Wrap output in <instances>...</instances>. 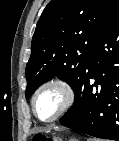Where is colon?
Returning a JSON list of instances; mask_svg holds the SVG:
<instances>
[{
    "mask_svg": "<svg viewBox=\"0 0 119 141\" xmlns=\"http://www.w3.org/2000/svg\"><path fill=\"white\" fill-rule=\"evenodd\" d=\"M35 141H54L53 139L46 137L44 135H37L34 138Z\"/></svg>",
    "mask_w": 119,
    "mask_h": 141,
    "instance_id": "colon-1",
    "label": "colon"
}]
</instances>
